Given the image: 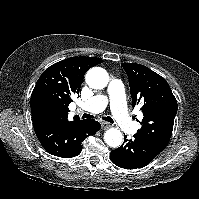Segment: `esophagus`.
<instances>
[{"label":"esophagus","instance_id":"obj_1","mask_svg":"<svg viewBox=\"0 0 199 199\" xmlns=\"http://www.w3.org/2000/svg\"><path fill=\"white\" fill-rule=\"evenodd\" d=\"M110 127H111V124L108 123V122H102L101 123V128L104 129V130H106V129L110 128Z\"/></svg>","mask_w":199,"mask_h":199}]
</instances>
